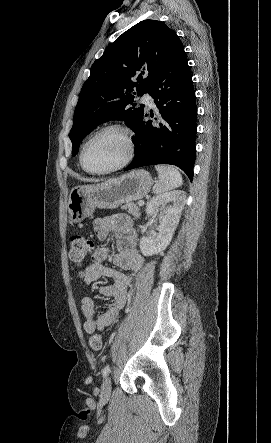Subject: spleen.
<instances>
[{"instance_id":"1","label":"spleen","mask_w":271,"mask_h":443,"mask_svg":"<svg viewBox=\"0 0 271 443\" xmlns=\"http://www.w3.org/2000/svg\"><path fill=\"white\" fill-rule=\"evenodd\" d=\"M158 172V182L153 186V194H164L182 186L183 180L177 168L173 166H155Z\"/></svg>"}]
</instances>
